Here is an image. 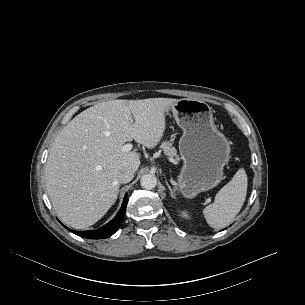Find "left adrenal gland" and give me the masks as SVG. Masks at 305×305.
Instances as JSON below:
<instances>
[{"label":"left adrenal gland","instance_id":"a2214340","mask_svg":"<svg viewBox=\"0 0 305 305\" xmlns=\"http://www.w3.org/2000/svg\"><path fill=\"white\" fill-rule=\"evenodd\" d=\"M166 184H167V186H168V188H169L170 195H171L173 198H175L174 193H173V190H172L171 186L169 185V183H168L167 181H166Z\"/></svg>","mask_w":305,"mask_h":305}]
</instances>
